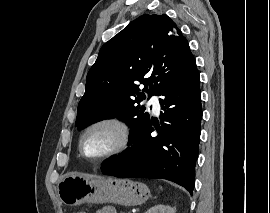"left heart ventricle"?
<instances>
[{"label":"left heart ventricle","mask_w":270,"mask_h":213,"mask_svg":"<svg viewBox=\"0 0 270 213\" xmlns=\"http://www.w3.org/2000/svg\"><path fill=\"white\" fill-rule=\"evenodd\" d=\"M119 141L118 132L111 127H98L90 131L83 142V149L90 157H98L113 148Z\"/></svg>","instance_id":"left-heart-ventricle-1"}]
</instances>
